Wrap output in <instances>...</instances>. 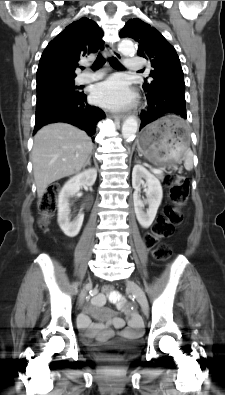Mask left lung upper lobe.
<instances>
[{"instance_id": "5c2ea615", "label": "left lung upper lobe", "mask_w": 225, "mask_h": 395, "mask_svg": "<svg viewBox=\"0 0 225 395\" xmlns=\"http://www.w3.org/2000/svg\"><path fill=\"white\" fill-rule=\"evenodd\" d=\"M120 37L133 38L139 43L138 55L151 62L150 83L143 84L147 93L181 91L185 83L183 70L175 48L163 35L138 18L130 19L120 31Z\"/></svg>"}]
</instances>
